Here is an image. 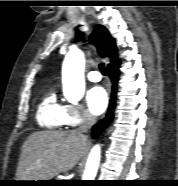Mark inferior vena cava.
I'll return each mask as SVG.
<instances>
[{"instance_id": "obj_1", "label": "inferior vena cava", "mask_w": 178, "mask_h": 186, "mask_svg": "<svg viewBox=\"0 0 178 186\" xmlns=\"http://www.w3.org/2000/svg\"><path fill=\"white\" fill-rule=\"evenodd\" d=\"M96 122V118L89 112H85L83 121L77 129L79 133H86Z\"/></svg>"}]
</instances>
